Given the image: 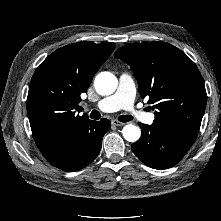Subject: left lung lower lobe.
<instances>
[{"mask_svg":"<svg viewBox=\"0 0 221 221\" xmlns=\"http://www.w3.org/2000/svg\"><path fill=\"white\" fill-rule=\"evenodd\" d=\"M142 135L131 148L147 166L167 169L177 164L194 143L197 133L163 122L139 123Z\"/></svg>","mask_w":221,"mask_h":221,"instance_id":"obj_1","label":"left lung lower lobe"}]
</instances>
